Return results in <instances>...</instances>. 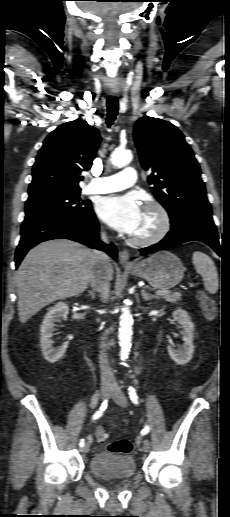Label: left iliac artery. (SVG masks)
<instances>
[{
  "label": "left iliac artery",
  "mask_w": 230,
  "mask_h": 517,
  "mask_svg": "<svg viewBox=\"0 0 230 517\" xmlns=\"http://www.w3.org/2000/svg\"><path fill=\"white\" fill-rule=\"evenodd\" d=\"M128 391H129V392H128V394H129V398H130V400H131L134 404H138V396H137V393H136L135 389H134L132 386H130V387L128 388ZM149 431H150V427H149L148 425H146V426L144 427V429L142 430V434H144V435H145V434H148V433H149Z\"/></svg>",
  "instance_id": "left-iliac-artery-1"
}]
</instances>
